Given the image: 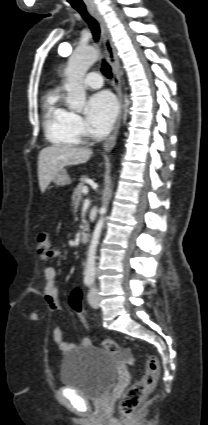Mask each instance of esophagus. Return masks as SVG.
I'll return each mask as SVG.
<instances>
[{
  "label": "esophagus",
  "mask_w": 208,
  "mask_h": 425,
  "mask_svg": "<svg viewBox=\"0 0 208 425\" xmlns=\"http://www.w3.org/2000/svg\"><path fill=\"white\" fill-rule=\"evenodd\" d=\"M88 11L98 21L100 25L102 41L105 48L106 56L112 68L113 86L116 91L119 104H120V112H119V116L116 121V124L114 126V130L112 134L106 139L103 146L104 151L109 152L116 143L117 135L121 125L122 113H123V95H122V89H121V78L119 74L120 63H119V58L116 52V48L112 42L108 27L104 21L103 16L100 14V12L98 11L96 7L90 6L88 7Z\"/></svg>",
  "instance_id": "34e87169"
}]
</instances>
